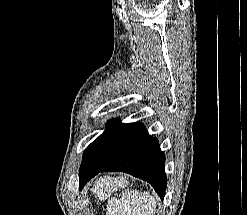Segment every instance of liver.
<instances>
[{"mask_svg": "<svg viewBox=\"0 0 247 215\" xmlns=\"http://www.w3.org/2000/svg\"><path fill=\"white\" fill-rule=\"evenodd\" d=\"M121 182V184H123V180L122 181H120ZM99 194V196H103V192L101 191L100 193H98Z\"/></svg>", "mask_w": 247, "mask_h": 215, "instance_id": "liver-1", "label": "liver"}]
</instances>
